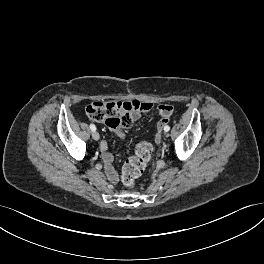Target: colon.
Segmentation results:
<instances>
[{
  "mask_svg": "<svg viewBox=\"0 0 264 264\" xmlns=\"http://www.w3.org/2000/svg\"><path fill=\"white\" fill-rule=\"evenodd\" d=\"M132 108L122 102H93L86 107L87 115L94 121L103 122L112 129L128 128L132 125ZM167 123L160 119L157 124L156 140L160 141L161 131ZM152 146L147 141L140 142L134 154L127 159L122 169V182L126 187H132L143 173L151 158Z\"/></svg>",
  "mask_w": 264,
  "mask_h": 264,
  "instance_id": "1",
  "label": "colon"
}]
</instances>
